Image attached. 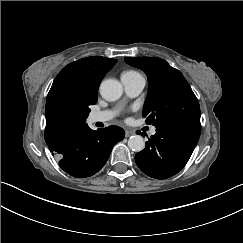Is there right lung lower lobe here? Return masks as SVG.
I'll list each match as a JSON object with an SVG mask.
<instances>
[{"label":"right lung lower lobe","instance_id":"1","mask_svg":"<svg viewBox=\"0 0 243 243\" xmlns=\"http://www.w3.org/2000/svg\"><path fill=\"white\" fill-rule=\"evenodd\" d=\"M125 136L123 129L109 126L94 131L82 124L54 136L47 145L69 175L85 178L94 175L106 163L113 146Z\"/></svg>","mask_w":243,"mask_h":243}]
</instances>
